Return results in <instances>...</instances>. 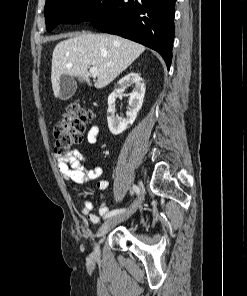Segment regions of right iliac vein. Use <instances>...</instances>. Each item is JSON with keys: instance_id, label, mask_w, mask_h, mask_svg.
Returning <instances> with one entry per match:
<instances>
[{"instance_id": "obj_1", "label": "right iliac vein", "mask_w": 247, "mask_h": 296, "mask_svg": "<svg viewBox=\"0 0 247 296\" xmlns=\"http://www.w3.org/2000/svg\"><path fill=\"white\" fill-rule=\"evenodd\" d=\"M140 187L142 188L143 185L140 182ZM144 198L143 192L140 193V195L137 197V199L133 202V204L124 212L119 213L118 215H115L113 217H110L109 219H107L99 228L96 236L102 237L104 236L112 227H114L116 224L126 220L127 218H129L131 215H133L135 213V211L138 209V207L140 206V204L142 203ZM99 246L96 243L94 246V251H93V255L95 257L99 256Z\"/></svg>"}]
</instances>
